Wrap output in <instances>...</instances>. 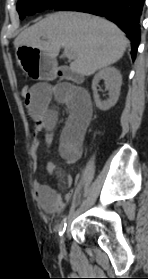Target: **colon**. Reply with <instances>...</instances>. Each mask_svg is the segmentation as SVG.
I'll return each instance as SVG.
<instances>
[{"label": "colon", "mask_w": 148, "mask_h": 279, "mask_svg": "<svg viewBox=\"0 0 148 279\" xmlns=\"http://www.w3.org/2000/svg\"><path fill=\"white\" fill-rule=\"evenodd\" d=\"M30 89H31V87H29L28 85H24L20 88V93L25 99H27L29 97Z\"/></svg>", "instance_id": "5ec220e1"}]
</instances>
